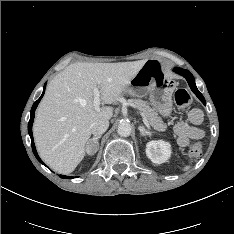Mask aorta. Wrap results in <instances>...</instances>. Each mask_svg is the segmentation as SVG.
<instances>
[{"label":"aorta","instance_id":"obj_1","mask_svg":"<svg viewBox=\"0 0 234 234\" xmlns=\"http://www.w3.org/2000/svg\"><path fill=\"white\" fill-rule=\"evenodd\" d=\"M131 131L132 127L128 122H122L118 125L117 133L122 137H128Z\"/></svg>","mask_w":234,"mask_h":234}]
</instances>
